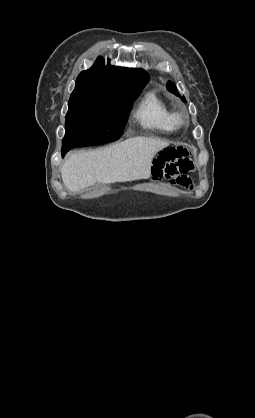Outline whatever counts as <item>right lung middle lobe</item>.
Wrapping results in <instances>:
<instances>
[{
	"label": "right lung middle lobe",
	"instance_id": "obj_1",
	"mask_svg": "<svg viewBox=\"0 0 255 418\" xmlns=\"http://www.w3.org/2000/svg\"><path fill=\"white\" fill-rule=\"evenodd\" d=\"M143 88L129 92L72 93L65 117L66 134L62 146H94L118 140L133 101Z\"/></svg>",
	"mask_w": 255,
	"mask_h": 418
}]
</instances>
